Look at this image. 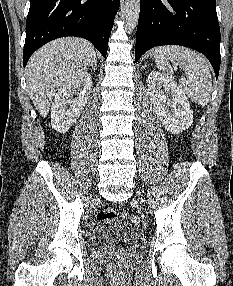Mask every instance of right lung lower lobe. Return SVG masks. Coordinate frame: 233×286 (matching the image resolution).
I'll return each mask as SVG.
<instances>
[{"label": "right lung lower lobe", "mask_w": 233, "mask_h": 286, "mask_svg": "<svg viewBox=\"0 0 233 286\" xmlns=\"http://www.w3.org/2000/svg\"><path fill=\"white\" fill-rule=\"evenodd\" d=\"M120 0H30L24 67L35 50L56 38L89 40L105 57Z\"/></svg>", "instance_id": "98d812e1"}]
</instances>
